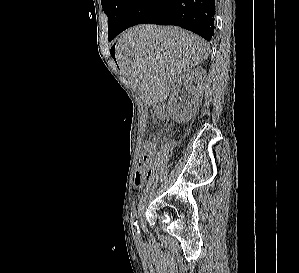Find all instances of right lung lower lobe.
I'll list each match as a JSON object with an SVG mask.
<instances>
[{
	"label": "right lung lower lobe",
	"instance_id": "98d812e1",
	"mask_svg": "<svg viewBox=\"0 0 299 273\" xmlns=\"http://www.w3.org/2000/svg\"><path fill=\"white\" fill-rule=\"evenodd\" d=\"M216 0H134L118 30L143 23L176 25L207 41L214 34Z\"/></svg>",
	"mask_w": 299,
	"mask_h": 273
}]
</instances>
